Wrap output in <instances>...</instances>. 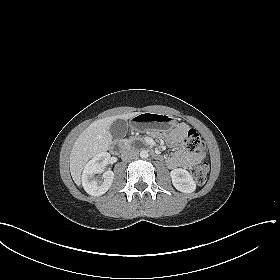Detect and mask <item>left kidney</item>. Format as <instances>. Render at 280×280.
<instances>
[{
	"mask_svg": "<svg viewBox=\"0 0 280 280\" xmlns=\"http://www.w3.org/2000/svg\"><path fill=\"white\" fill-rule=\"evenodd\" d=\"M173 186L183 193H192L196 189V183L190 173L182 168L170 172Z\"/></svg>",
	"mask_w": 280,
	"mask_h": 280,
	"instance_id": "left-kidney-1",
	"label": "left kidney"
}]
</instances>
